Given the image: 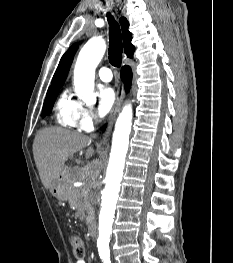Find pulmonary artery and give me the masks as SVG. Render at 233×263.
Listing matches in <instances>:
<instances>
[{
	"instance_id": "1",
	"label": "pulmonary artery",
	"mask_w": 233,
	"mask_h": 263,
	"mask_svg": "<svg viewBox=\"0 0 233 263\" xmlns=\"http://www.w3.org/2000/svg\"><path fill=\"white\" fill-rule=\"evenodd\" d=\"M98 76L104 82H110L113 78L112 71L108 67H101L98 70Z\"/></svg>"
}]
</instances>
